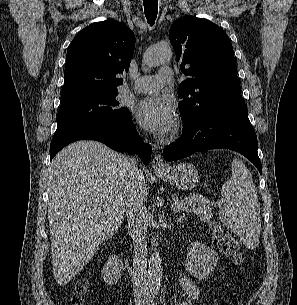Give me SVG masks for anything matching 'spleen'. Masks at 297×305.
<instances>
[{
    "mask_svg": "<svg viewBox=\"0 0 297 305\" xmlns=\"http://www.w3.org/2000/svg\"><path fill=\"white\" fill-rule=\"evenodd\" d=\"M221 195L227 200L219 210L221 222L247 248L255 249L260 240V205L251 174L241 160L232 161V176L222 185Z\"/></svg>",
    "mask_w": 297,
    "mask_h": 305,
    "instance_id": "1",
    "label": "spleen"
}]
</instances>
